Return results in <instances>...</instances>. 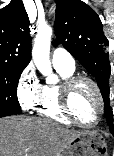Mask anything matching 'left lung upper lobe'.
Masks as SVG:
<instances>
[{
    "instance_id": "obj_1",
    "label": "left lung upper lobe",
    "mask_w": 114,
    "mask_h": 156,
    "mask_svg": "<svg viewBox=\"0 0 114 156\" xmlns=\"http://www.w3.org/2000/svg\"><path fill=\"white\" fill-rule=\"evenodd\" d=\"M55 33L63 46L96 78L104 99L107 124L114 130L109 105L110 62L103 46L108 43L99 16L80 0H57Z\"/></svg>"
}]
</instances>
